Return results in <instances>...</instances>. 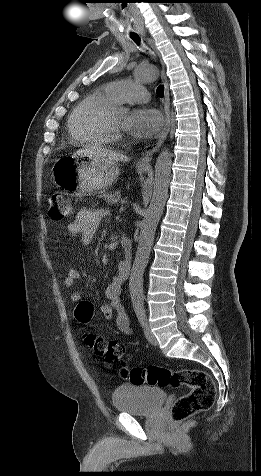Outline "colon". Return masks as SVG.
Returning a JSON list of instances; mask_svg holds the SVG:
<instances>
[{
    "instance_id": "colon-1",
    "label": "colon",
    "mask_w": 261,
    "mask_h": 476,
    "mask_svg": "<svg viewBox=\"0 0 261 476\" xmlns=\"http://www.w3.org/2000/svg\"><path fill=\"white\" fill-rule=\"evenodd\" d=\"M72 213L70 202L60 193L53 192L48 197V214L51 219L62 220ZM94 315V306L89 301H81L75 309V318L81 327H86ZM85 345L106 363H117L122 360L125 349L114 341H106L92 333L84 335ZM125 369V366L123 365ZM128 377L133 384H147L163 388L188 387L190 392L180 396L171 406V420L181 423L191 416L212 407L216 389L213 380L199 369H169L150 365L134 367Z\"/></svg>"
}]
</instances>
